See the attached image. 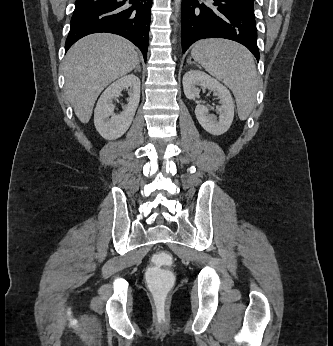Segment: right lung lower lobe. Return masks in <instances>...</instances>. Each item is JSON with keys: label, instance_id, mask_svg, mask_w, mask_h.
Here are the masks:
<instances>
[{"label": "right lung lower lobe", "instance_id": "right-lung-lower-lobe-1", "mask_svg": "<svg viewBox=\"0 0 333 346\" xmlns=\"http://www.w3.org/2000/svg\"><path fill=\"white\" fill-rule=\"evenodd\" d=\"M152 0H76L65 52L80 38L98 32L121 35L146 61Z\"/></svg>", "mask_w": 333, "mask_h": 346}]
</instances>
